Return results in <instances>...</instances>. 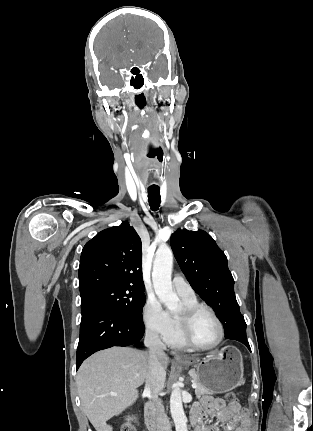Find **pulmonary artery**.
Returning <instances> with one entry per match:
<instances>
[{
    "label": "pulmonary artery",
    "mask_w": 313,
    "mask_h": 431,
    "mask_svg": "<svg viewBox=\"0 0 313 431\" xmlns=\"http://www.w3.org/2000/svg\"><path fill=\"white\" fill-rule=\"evenodd\" d=\"M173 288L181 297H195V292L191 285L180 275H176L172 281Z\"/></svg>",
    "instance_id": "obj_1"
}]
</instances>
